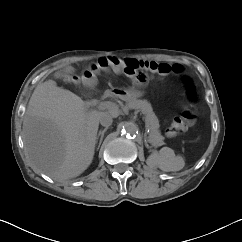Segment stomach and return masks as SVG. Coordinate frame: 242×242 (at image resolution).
Listing matches in <instances>:
<instances>
[{
    "label": "stomach",
    "instance_id": "obj_1",
    "mask_svg": "<svg viewBox=\"0 0 242 242\" xmlns=\"http://www.w3.org/2000/svg\"><path fill=\"white\" fill-rule=\"evenodd\" d=\"M144 92H142L141 90H138L136 88H127V89H123L121 91L118 92V94H116L117 96H119L121 99L129 101L132 99H137L141 96H143Z\"/></svg>",
    "mask_w": 242,
    "mask_h": 242
}]
</instances>
